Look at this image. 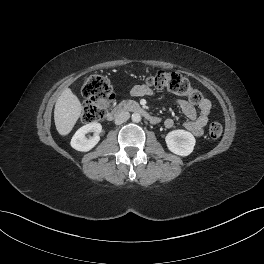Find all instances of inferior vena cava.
Here are the masks:
<instances>
[{"label": "inferior vena cava", "mask_w": 264, "mask_h": 264, "mask_svg": "<svg viewBox=\"0 0 264 264\" xmlns=\"http://www.w3.org/2000/svg\"><path fill=\"white\" fill-rule=\"evenodd\" d=\"M130 118V113L127 111H123L119 113L115 118V124L120 125L124 122H126Z\"/></svg>", "instance_id": "1"}]
</instances>
